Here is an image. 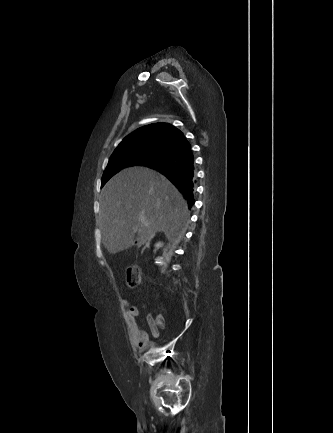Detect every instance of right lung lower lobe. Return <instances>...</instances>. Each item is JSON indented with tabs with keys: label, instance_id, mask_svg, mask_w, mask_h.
I'll return each instance as SVG.
<instances>
[{
	"label": "right lung lower lobe",
	"instance_id": "obj_1",
	"mask_svg": "<svg viewBox=\"0 0 333 433\" xmlns=\"http://www.w3.org/2000/svg\"><path fill=\"white\" fill-rule=\"evenodd\" d=\"M180 145L163 159L145 166L157 169L185 195L189 208L195 203V164L190 143L181 139Z\"/></svg>",
	"mask_w": 333,
	"mask_h": 433
}]
</instances>
